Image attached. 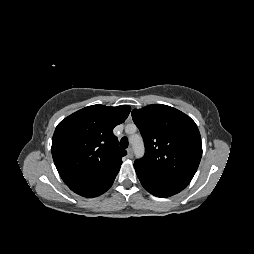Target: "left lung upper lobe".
<instances>
[{
  "label": "left lung upper lobe",
  "instance_id": "left-lung-upper-lobe-1",
  "mask_svg": "<svg viewBox=\"0 0 254 254\" xmlns=\"http://www.w3.org/2000/svg\"><path fill=\"white\" fill-rule=\"evenodd\" d=\"M132 118L145 145L144 157L135 164L154 174L190 182L202 156L201 136L195 122L162 104L134 109Z\"/></svg>",
  "mask_w": 254,
  "mask_h": 254
}]
</instances>
